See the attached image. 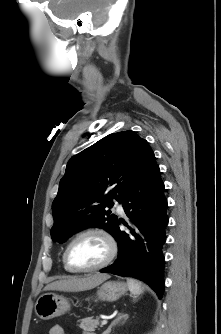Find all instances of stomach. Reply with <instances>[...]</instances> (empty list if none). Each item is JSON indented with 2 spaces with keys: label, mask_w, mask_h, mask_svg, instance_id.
<instances>
[{
  "label": "stomach",
  "mask_w": 221,
  "mask_h": 334,
  "mask_svg": "<svg viewBox=\"0 0 221 334\" xmlns=\"http://www.w3.org/2000/svg\"><path fill=\"white\" fill-rule=\"evenodd\" d=\"M127 284L120 281H107L97 291L98 299L113 302L118 300L127 291ZM70 310L67 298L55 293L41 295L35 304L36 315L43 320L60 316Z\"/></svg>",
  "instance_id": "stomach-1"
}]
</instances>
